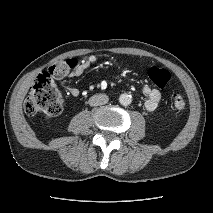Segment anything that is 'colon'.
I'll return each mask as SVG.
<instances>
[{"mask_svg": "<svg viewBox=\"0 0 213 213\" xmlns=\"http://www.w3.org/2000/svg\"><path fill=\"white\" fill-rule=\"evenodd\" d=\"M76 63L75 59L58 61L36 78L25 101L24 109L28 116L41 115L45 118H53L62 112L64 100L54 79L69 73ZM148 76L159 88H164L170 80L169 72L157 67H151ZM171 104L177 113L183 112L186 108L184 97L177 93L171 96Z\"/></svg>", "mask_w": 213, "mask_h": 213, "instance_id": "5ec220e1", "label": "colon"}]
</instances>
